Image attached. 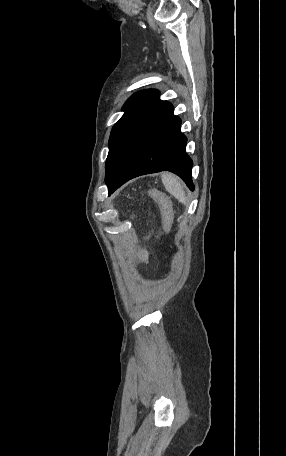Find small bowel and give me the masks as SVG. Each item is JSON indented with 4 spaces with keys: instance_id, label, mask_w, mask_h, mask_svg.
I'll return each mask as SVG.
<instances>
[{
    "instance_id": "obj_1",
    "label": "small bowel",
    "mask_w": 286,
    "mask_h": 456,
    "mask_svg": "<svg viewBox=\"0 0 286 456\" xmlns=\"http://www.w3.org/2000/svg\"><path fill=\"white\" fill-rule=\"evenodd\" d=\"M133 253L139 262L148 261V257H149L148 252L143 247L136 246L133 250Z\"/></svg>"
}]
</instances>
